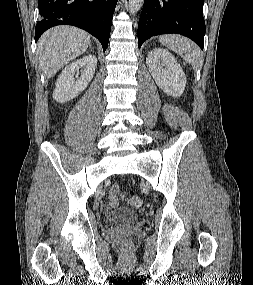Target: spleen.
<instances>
[{
    "mask_svg": "<svg viewBox=\"0 0 253 285\" xmlns=\"http://www.w3.org/2000/svg\"><path fill=\"white\" fill-rule=\"evenodd\" d=\"M159 42L178 53L183 59L192 65L193 69H198L203 63V55L199 47L190 39L180 35H162Z\"/></svg>",
    "mask_w": 253,
    "mask_h": 285,
    "instance_id": "1",
    "label": "spleen"
}]
</instances>
